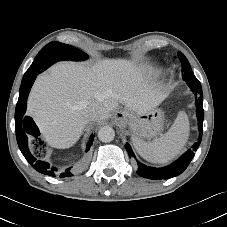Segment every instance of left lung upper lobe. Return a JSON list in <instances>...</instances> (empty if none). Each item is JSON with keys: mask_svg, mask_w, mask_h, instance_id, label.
<instances>
[{"mask_svg": "<svg viewBox=\"0 0 227 227\" xmlns=\"http://www.w3.org/2000/svg\"><path fill=\"white\" fill-rule=\"evenodd\" d=\"M179 58L182 62V78L185 80L192 91H202L201 84L192 72L187 58L181 52H179Z\"/></svg>", "mask_w": 227, "mask_h": 227, "instance_id": "left-lung-upper-lobe-1", "label": "left lung upper lobe"}]
</instances>
